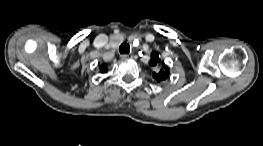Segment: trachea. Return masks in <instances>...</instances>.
<instances>
[{"mask_svg":"<svg viewBox=\"0 0 263 146\" xmlns=\"http://www.w3.org/2000/svg\"><path fill=\"white\" fill-rule=\"evenodd\" d=\"M120 54H128L130 52V46L127 43H123L119 47Z\"/></svg>","mask_w":263,"mask_h":146,"instance_id":"obj_1","label":"trachea"}]
</instances>
